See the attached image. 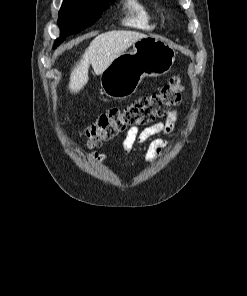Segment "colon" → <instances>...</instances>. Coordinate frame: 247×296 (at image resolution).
I'll return each mask as SVG.
<instances>
[{
    "instance_id": "obj_1",
    "label": "colon",
    "mask_w": 247,
    "mask_h": 296,
    "mask_svg": "<svg viewBox=\"0 0 247 296\" xmlns=\"http://www.w3.org/2000/svg\"><path fill=\"white\" fill-rule=\"evenodd\" d=\"M181 80L173 76L157 92L138 98L122 108H110L84 129L89 148L98 147L123 132L128 126H140L165 117L182 93Z\"/></svg>"
}]
</instances>
